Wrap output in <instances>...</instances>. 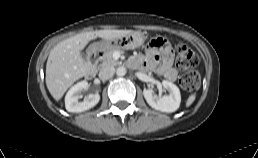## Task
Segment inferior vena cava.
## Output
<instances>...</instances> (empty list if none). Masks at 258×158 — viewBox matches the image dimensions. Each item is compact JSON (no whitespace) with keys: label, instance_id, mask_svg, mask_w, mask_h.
Here are the masks:
<instances>
[{"label":"inferior vena cava","instance_id":"inferior-vena-cava-1","mask_svg":"<svg viewBox=\"0 0 258 158\" xmlns=\"http://www.w3.org/2000/svg\"><path fill=\"white\" fill-rule=\"evenodd\" d=\"M115 73V68L113 66H104L99 72V78L101 80H108Z\"/></svg>","mask_w":258,"mask_h":158}]
</instances>
